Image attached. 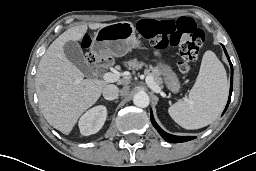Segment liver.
Wrapping results in <instances>:
<instances>
[{
    "label": "liver",
    "instance_id": "6515ba94",
    "mask_svg": "<svg viewBox=\"0 0 256 171\" xmlns=\"http://www.w3.org/2000/svg\"><path fill=\"white\" fill-rule=\"evenodd\" d=\"M108 24L91 23L72 27L62 33L42 56L36 73V91L39 107L47 122L68 135L78 118L93 106L106 86V81L83 79V73L64 53L67 41H79L92 30Z\"/></svg>",
    "mask_w": 256,
    "mask_h": 171
}]
</instances>
